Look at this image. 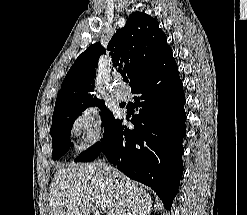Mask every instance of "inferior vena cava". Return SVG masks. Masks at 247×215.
I'll list each match as a JSON object with an SVG mask.
<instances>
[{"label":"inferior vena cava","mask_w":247,"mask_h":215,"mask_svg":"<svg viewBox=\"0 0 247 215\" xmlns=\"http://www.w3.org/2000/svg\"><path fill=\"white\" fill-rule=\"evenodd\" d=\"M103 166L109 168V166L105 162H103Z\"/></svg>","instance_id":"obj_1"}]
</instances>
